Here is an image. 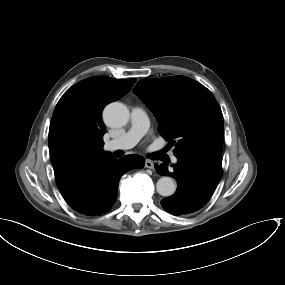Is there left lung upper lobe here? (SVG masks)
<instances>
[{
	"mask_svg": "<svg viewBox=\"0 0 285 285\" xmlns=\"http://www.w3.org/2000/svg\"><path fill=\"white\" fill-rule=\"evenodd\" d=\"M159 121L158 131L175 157L222 162L223 116L213 94L199 82L173 76L140 80L133 89ZM175 140V141H174Z\"/></svg>",
	"mask_w": 285,
	"mask_h": 285,
	"instance_id": "1",
	"label": "left lung upper lobe"
}]
</instances>
